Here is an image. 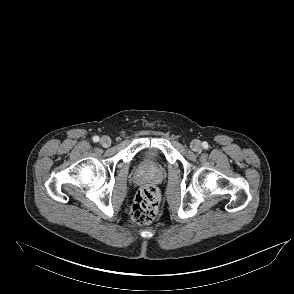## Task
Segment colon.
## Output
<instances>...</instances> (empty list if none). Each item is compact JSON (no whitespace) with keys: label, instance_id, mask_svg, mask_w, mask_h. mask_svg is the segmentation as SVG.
<instances>
[{"label":"colon","instance_id":"obj_1","mask_svg":"<svg viewBox=\"0 0 294 294\" xmlns=\"http://www.w3.org/2000/svg\"><path fill=\"white\" fill-rule=\"evenodd\" d=\"M160 205V193L153 185L139 189L131 208L132 219L140 224L150 223L157 215Z\"/></svg>","mask_w":294,"mask_h":294}]
</instances>
